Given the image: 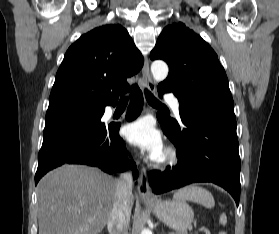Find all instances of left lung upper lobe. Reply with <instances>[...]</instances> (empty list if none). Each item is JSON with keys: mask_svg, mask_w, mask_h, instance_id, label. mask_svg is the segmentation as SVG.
Wrapping results in <instances>:
<instances>
[{"mask_svg": "<svg viewBox=\"0 0 279 234\" xmlns=\"http://www.w3.org/2000/svg\"><path fill=\"white\" fill-rule=\"evenodd\" d=\"M150 58L167 62L169 74L159 86L171 87L179 103L234 112L228 79L216 53L185 24L165 27ZM158 120L171 128L179 127L178 122L168 116L160 114Z\"/></svg>", "mask_w": 279, "mask_h": 234, "instance_id": "left-lung-upper-lobe-1", "label": "left lung upper lobe"}]
</instances>
